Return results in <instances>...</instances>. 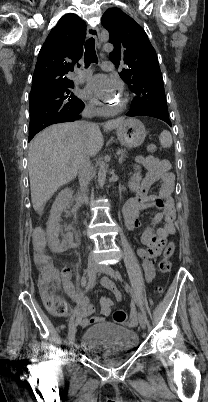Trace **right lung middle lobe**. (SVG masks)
Masks as SVG:
<instances>
[{"instance_id":"dd1d6c3e","label":"right lung middle lobe","mask_w":208,"mask_h":402,"mask_svg":"<svg viewBox=\"0 0 208 402\" xmlns=\"http://www.w3.org/2000/svg\"><path fill=\"white\" fill-rule=\"evenodd\" d=\"M73 82L62 80L41 84L30 92V122L32 118L58 112H71L82 103L72 92Z\"/></svg>"}]
</instances>
